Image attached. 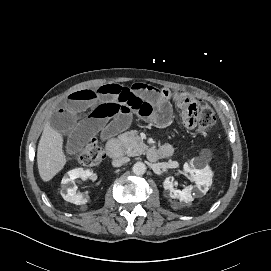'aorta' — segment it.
<instances>
[{
	"label": "aorta",
	"mask_w": 271,
	"mask_h": 271,
	"mask_svg": "<svg viewBox=\"0 0 271 271\" xmlns=\"http://www.w3.org/2000/svg\"><path fill=\"white\" fill-rule=\"evenodd\" d=\"M146 169V165L143 162H136L132 167V171L135 175H143Z\"/></svg>",
	"instance_id": "1"
}]
</instances>
